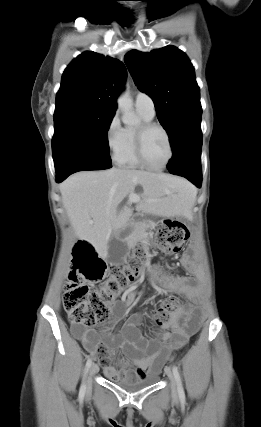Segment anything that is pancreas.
<instances>
[{"label":"pancreas","mask_w":261,"mask_h":427,"mask_svg":"<svg viewBox=\"0 0 261 427\" xmlns=\"http://www.w3.org/2000/svg\"><path fill=\"white\" fill-rule=\"evenodd\" d=\"M151 228V226L149 224H147L146 222H143L141 224H139L134 232V238L135 240L139 241L145 237H147L148 235H151V232H147L149 229Z\"/></svg>","instance_id":"1"}]
</instances>
